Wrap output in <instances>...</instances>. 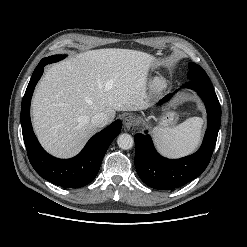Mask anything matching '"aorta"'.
<instances>
[{
  "instance_id": "1",
  "label": "aorta",
  "mask_w": 247,
  "mask_h": 247,
  "mask_svg": "<svg viewBox=\"0 0 247 247\" xmlns=\"http://www.w3.org/2000/svg\"><path fill=\"white\" fill-rule=\"evenodd\" d=\"M117 144H118L119 148H121L123 150H128V149L132 148V146L134 144V139L131 135L124 133V134H121L118 136Z\"/></svg>"
}]
</instances>
